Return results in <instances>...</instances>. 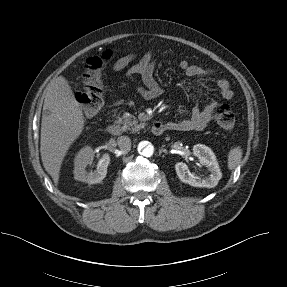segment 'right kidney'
<instances>
[{
  "label": "right kidney",
  "mask_w": 287,
  "mask_h": 287,
  "mask_svg": "<svg viewBox=\"0 0 287 287\" xmlns=\"http://www.w3.org/2000/svg\"><path fill=\"white\" fill-rule=\"evenodd\" d=\"M94 157L93 149L89 146L82 148L74 159V178L78 181L88 184L100 183L107 174V167L110 163L109 154L105 153L100 158L97 169L87 172L86 167L91 163Z\"/></svg>",
  "instance_id": "right-kidney-1"
}]
</instances>
